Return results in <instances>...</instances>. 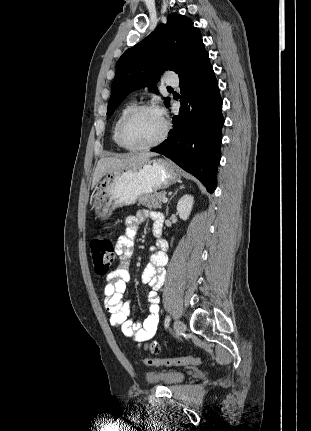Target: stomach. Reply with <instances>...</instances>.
Returning a JSON list of instances; mask_svg holds the SVG:
<instances>
[{
	"label": "stomach",
	"mask_w": 311,
	"mask_h": 431,
	"mask_svg": "<svg viewBox=\"0 0 311 431\" xmlns=\"http://www.w3.org/2000/svg\"><path fill=\"white\" fill-rule=\"evenodd\" d=\"M180 170L163 158L148 160L137 170H119L107 174L93 196L95 219L105 221L117 208L133 206L142 196L157 194L180 182Z\"/></svg>",
	"instance_id": "0dacf381"
}]
</instances>
